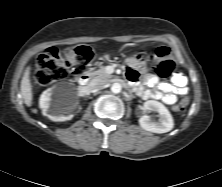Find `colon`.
Here are the masks:
<instances>
[{
  "instance_id": "1",
  "label": "colon",
  "mask_w": 222,
  "mask_h": 187,
  "mask_svg": "<svg viewBox=\"0 0 222 187\" xmlns=\"http://www.w3.org/2000/svg\"><path fill=\"white\" fill-rule=\"evenodd\" d=\"M155 62L154 71L161 78H167L176 70V63L170 57L166 47H159L150 54ZM92 52L87 47L57 49L49 48L42 53L37 61L35 85H50L68 76H77L89 66ZM189 98L181 97L173 106L174 111L183 113L188 106Z\"/></svg>"
}]
</instances>
